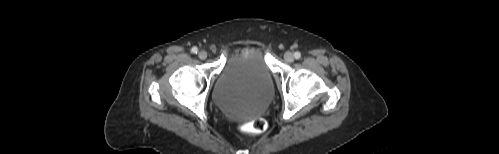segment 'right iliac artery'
I'll use <instances>...</instances> for the list:
<instances>
[{"mask_svg":"<svg viewBox=\"0 0 499 154\" xmlns=\"http://www.w3.org/2000/svg\"><path fill=\"white\" fill-rule=\"evenodd\" d=\"M191 52H192V53H194V54H197V52H198V48H197V47H193V48L191 49Z\"/></svg>","mask_w":499,"mask_h":154,"instance_id":"right-iliac-artery-1","label":"right iliac artery"}]
</instances>
